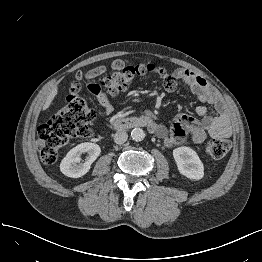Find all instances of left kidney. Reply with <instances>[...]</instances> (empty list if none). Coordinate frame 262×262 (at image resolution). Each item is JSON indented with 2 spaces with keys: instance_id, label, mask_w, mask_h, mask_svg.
<instances>
[{
  "instance_id": "left-kidney-1",
  "label": "left kidney",
  "mask_w": 262,
  "mask_h": 262,
  "mask_svg": "<svg viewBox=\"0 0 262 262\" xmlns=\"http://www.w3.org/2000/svg\"><path fill=\"white\" fill-rule=\"evenodd\" d=\"M173 157L179 172L189 179L200 180L204 176V166L197 153L190 147H178Z\"/></svg>"
}]
</instances>
